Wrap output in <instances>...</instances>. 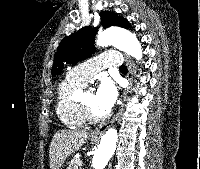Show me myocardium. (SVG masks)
Listing matches in <instances>:
<instances>
[{"label":"myocardium","mask_w":200,"mask_h":169,"mask_svg":"<svg viewBox=\"0 0 200 169\" xmlns=\"http://www.w3.org/2000/svg\"><path fill=\"white\" fill-rule=\"evenodd\" d=\"M80 104H81L82 111H83L86 122H88L90 124H96V123H101L107 119L108 114L103 115V116L95 115L93 113V111L90 109V107L83 100L81 101Z\"/></svg>","instance_id":"f54148a6"}]
</instances>
